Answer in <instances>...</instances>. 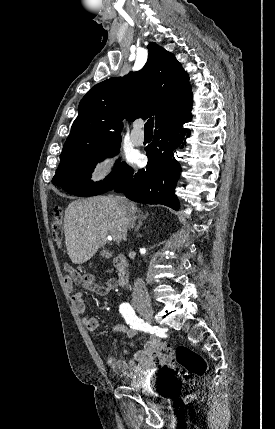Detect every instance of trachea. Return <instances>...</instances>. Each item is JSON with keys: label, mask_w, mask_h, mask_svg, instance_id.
<instances>
[{"label": "trachea", "mask_w": 275, "mask_h": 429, "mask_svg": "<svg viewBox=\"0 0 275 429\" xmlns=\"http://www.w3.org/2000/svg\"><path fill=\"white\" fill-rule=\"evenodd\" d=\"M154 118H150L144 126L145 133H153Z\"/></svg>", "instance_id": "trachea-1"}]
</instances>
